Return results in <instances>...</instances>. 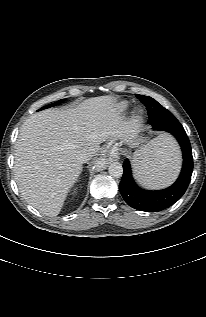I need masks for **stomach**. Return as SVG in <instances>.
Here are the masks:
<instances>
[{"instance_id": "1", "label": "stomach", "mask_w": 206, "mask_h": 317, "mask_svg": "<svg viewBox=\"0 0 206 317\" xmlns=\"http://www.w3.org/2000/svg\"><path fill=\"white\" fill-rule=\"evenodd\" d=\"M143 141H144L143 137L138 136V135H134V136L130 137V139L127 142H128V145L133 147V146L139 145Z\"/></svg>"}]
</instances>
